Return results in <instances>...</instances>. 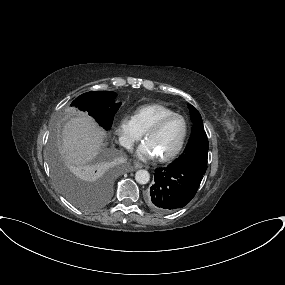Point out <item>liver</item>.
<instances>
[{
    "mask_svg": "<svg viewBox=\"0 0 285 285\" xmlns=\"http://www.w3.org/2000/svg\"><path fill=\"white\" fill-rule=\"evenodd\" d=\"M106 135L87 113L77 112L67 120L62 129L60 152L72 172L83 175L85 165L101 151Z\"/></svg>",
    "mask_w": 285,
    "mask_h": 285,
    "instance_id": "6515ba94",
    "label": "liver"
}]
</instances>
